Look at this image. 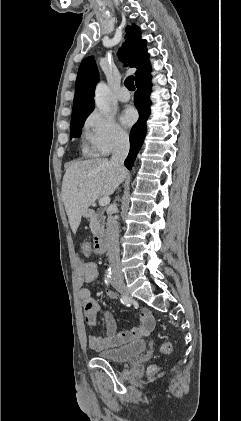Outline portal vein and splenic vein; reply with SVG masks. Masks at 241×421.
<instances>
[{"instance_id":"portal-vein-and-splenic-vein-1","label":"portal vein and splenic vein","mask_w":241,"mask_h":421,"mask_svg":"<svg viewBox=\"0 0 241 421\" xmlns=\"http://www.w3.org/2000/svg\"><path fill=\"white\" fill-rule=\"evenodd\" d=\"M109 203H110V197L109 196H103L99 200V205L100 206H107Z\"/></svg>"}]
</instances>
